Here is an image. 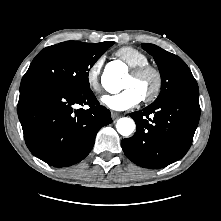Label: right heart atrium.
I'll use <instances>...</instances> for the list:
<instances>
[{
    "instance_id": "1",
    "label": "right heart atrium",
    "mask_w": 221,
    "mask_h": 221,
    "mask_svg": "<svg viewBox=\"0 0 221 221\" xmlns=\"http://www.w3.org/2000/svg\"><path fill=\"white\" fill-rule=\"evenodd\" d=\"M103 62L104 57L99 56L89 65L85 72V78L88 86L96 93H99L101 91L100 74Z\"/></svg>"
}]
</instances>
